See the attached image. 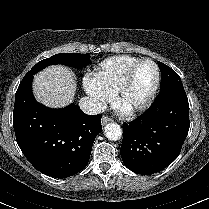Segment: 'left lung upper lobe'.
<instances>
[{
  "instance_id": "obj_1",
  "label": "left lung upper lobe",
  "mask_w": 209,
  "mask_h": 209,
  "mask_svg": "<svg viewBox=\"0 0 209 209\" xmlns=\"http://www.w3.org/2000/svg\"><path fill=\"white\" fill-rule=\"evenodd\" d=\"M161 71L160 92L170 87H183L180 77L174 70L158 61Z\"/></svg>"
}]
</instances>
